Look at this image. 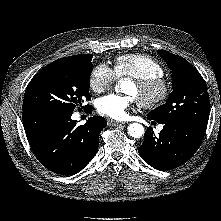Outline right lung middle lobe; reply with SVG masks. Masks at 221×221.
<instances>
[{
  "mask_svg": "<svg viewBox=\"0 0 221 221\" xmlns=\"http://www.w3.org/2000/svg\"><path fill=\"white\" fill-rule=\"evenodd\" d=\"M91 60L92 55L81 54L58 59L46 66L29 82L23 110L38 108L72 113L76 107H82L84 99L91 98Z\"/></svg>",
  "mask_w": 221,
  "mask_h": 221,
  "instance_id": "dd1d6c3e",
  "label": "right lung middle lobe"
}]
</instances>
